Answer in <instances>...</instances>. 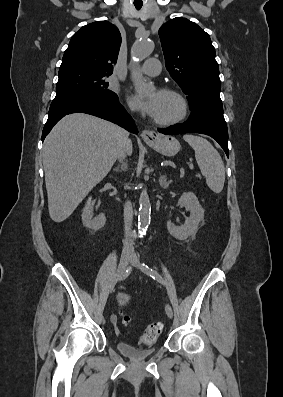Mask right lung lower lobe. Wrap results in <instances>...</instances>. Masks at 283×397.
Wrapping results in <instances>:
<instances>
[{"instance_id": "98d812e1", "label": "right lung lower lobe", "mask_w": 283, "mask_h": 397, "mask_svg": "<svg viewBox=\"0 0 283 397\" xmlns=\"http://www.w3.org/2000/svg\"><path fill=\"white\" fill-rule=\"evenodd\" d=\"M87 113L111 121L137 134L138 130L133 119L117 102H108L85 95H69L55 98L50 106L48 120L42 132V141L53 126L65 115L71 113Z\"/></svg>"}]
</instances>
